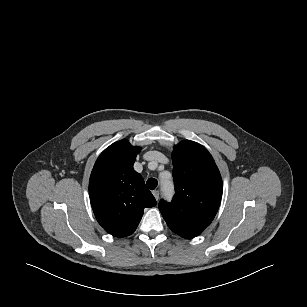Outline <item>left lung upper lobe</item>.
I'll use <instances>...</instances> for the list:
<instances>
[{"mask_svg": "<svg viewBox=\"0 0 307 307\" xmlns=\"http://www.w3.org/2000/svg\"><path fill=\"white\" fill-rule=\"evenodd\" d=\"M176 193L161 200L159 210L169 228L181 237L199 235L214 219L222 197L220 172L205 147L185 140L172 153Z\"/></svg>", "mask_w": 307, "mask_h": 307, "instance_id": "obj_1", "label": "left lung upper lobe"}]
</instances>
